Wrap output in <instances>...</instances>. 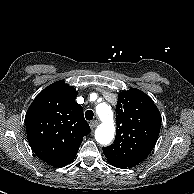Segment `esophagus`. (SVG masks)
I'll list each match as a JSON object with an SVG mask.
<instances>
[{
  "label": "esophagus",
  "instance_id": "esophagus-1",
  "mask_svg": "<svg viewBox=\"0 0 194 194\" xmlns=\"http://www.w3.org/2000/svg\"><path fill=\"white\" fill-rule=\"evenodd\" d=\"M98 124H99V123H98L97 120L91 121V122H90V127H91V129L96 128Z\"/></svg>",
  "mask_w": 194,
  "mask_h": 194
}]
</instances>
